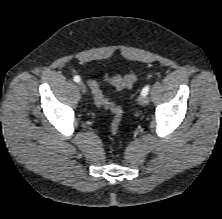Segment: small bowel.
<instances>
[{"mask_svg": "<svg viewBox=\"0 0 222 219\" xmlns=\"http://www.w3.org/2000/svg\"><path fill=\"white\" fill-rule=\"evenodd\" d=\"M92 84H97V83H96V81H94V80H90V81H89V85L91 86Z\"/></svg>", "mask_w": 222, "mask_h": 219, "instance_id": "1", "label": "small bowel"}]
</instances>
